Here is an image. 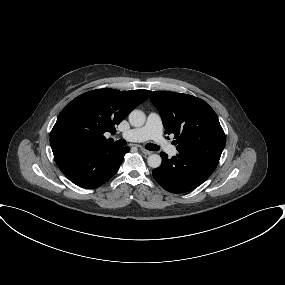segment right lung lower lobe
Masks as SVG:
<instances>
[{
    "label": "right lung lower lobe",
    "instance_id": "obj_1",
    "mask_svg": "<svg viewBox=\"0 0 285 285\" xmlns=\"http://www.w3.org/2000/svg\"><path fill=\"white\" fill-rule=\"evenodd\" d=\"M129 147L60 144L52 147L55 162L62 173L83 188H96L119 169Z\"/></svg>",
    "mask_w": 285,
    "mask_h": 285
}]
</instances>
